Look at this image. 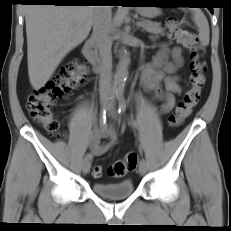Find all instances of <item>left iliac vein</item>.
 Instances as JSON below:
<instances>
[{
	"instance_id": "1",
	"label": "left iliac vein",
	"mask_w": 231,
	"mask_h": 231,
	"mask_svg": "<svg viewBox=\"0 0 231 231\" xmlns=\"http://www.w3.org/2000/svg\"><path fill=\"white\" fill-rule=\"evenodd\" d=\"M108 111H109V115L113 118V119H117V113L114 107V101H112L109 105H108ZM139 172L140 174L144 175L147 172V163L145 161V159H141L140 163H139Z\"/></svg>"
}]
</instances>
